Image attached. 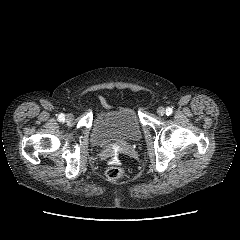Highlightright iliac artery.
I'll return each mask as SVG.
<instances>
[{"mask_svg":"<svg viewBox=\"0 0 240 240\" xmlns=\"http://www.w3.org/2000/svg\"><path fill=\"white\" fill-rule=\"evenodd\" d=\"M58 119H59V121H64L65 120V115L64 114H59V116H58Z\"/></svg>","mask_w":240,"mask_h":240,"instance_id":"82829eb1","label":"right iliac artery"}]
</instances>
